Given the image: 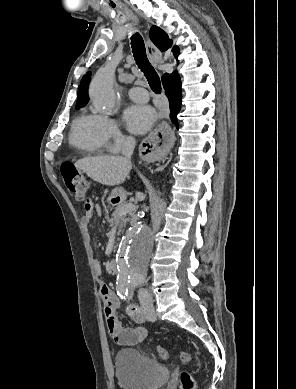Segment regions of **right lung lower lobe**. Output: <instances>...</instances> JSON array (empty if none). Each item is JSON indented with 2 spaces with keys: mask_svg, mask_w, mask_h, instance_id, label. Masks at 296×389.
Listing matches in <instances>:
<instances>
[{
  "mask_svg": "<svg viewBox=\"0 0 296 389\" xmlns=\"http://www.w3.org/2000/svg\"><path fill=\"white\" fill-rule=\"evenodd\" d=\"M162 83L170 103L171 121L176 128H179L177 114L179 113L182 101L180 78L178 74H173Z\"/></svg>",
  "mask_w": 296,
  "mask_h": 389,
  "instance_id": "right-lung-lower-lobe-1",
  "label": "right lung lower lobe"
}]
</instances>
